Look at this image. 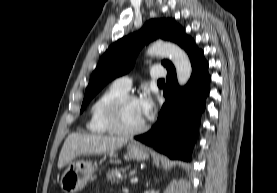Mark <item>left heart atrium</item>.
<instances>
[{
    "label": "left heart atrium",
    "mask_w": 277,
    "mask_h": 193,
    "mask_svg": "<svg viewBox=\"0 0 277 193\" xmlns=\"http://www.w3.org/2000/svg\"><path fill=\"white\" fill-rule=\"evenodd\" d=\"M136 101L143 118H151L154 111V103L151 97L148 94H143Z\"/></svg>",
    "instance_id": "1"
}]
</instances>
